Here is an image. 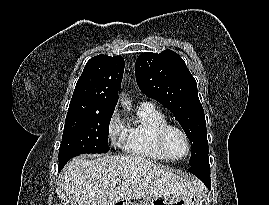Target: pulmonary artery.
Wrapping results in <instances>:
<instances>
[{"label": "pulmonary artery", "instance_id": "obj_1", "mask_svg": "<svg viewBox=\"0 0 269 205\" xmlns=\"http://www.w3.org/2000/svg\"><path fill=\"white\" fill-rule=\"evenodd\" d=\"M143 105H151V106H153V104L151 102H144Z\"/></svg>", "mask_w": 269, "mask_h": 205}]
</instances>
